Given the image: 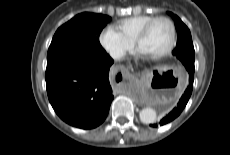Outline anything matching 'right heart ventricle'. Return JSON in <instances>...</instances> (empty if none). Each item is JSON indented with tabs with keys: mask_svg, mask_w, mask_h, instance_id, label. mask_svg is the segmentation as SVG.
Masks as SVG:
<instances>
[{
	"mask_svg": "<svg viewBox=\"0 0 230 155\" xmlns=\"http://www.w3.org/2000/svg\"><path fill=\"white\" fill-rule=\"evenodd\" d=\"M152 15H137L119 20L115 28L128 40L134 42L142 27L153 19Z\"/></svg>",
	"mask_w": 230,
	"mask_h": 155,
	"instance_id": "e07e8e85",
	"label": "right heart ventricle"
}]
</instances>
